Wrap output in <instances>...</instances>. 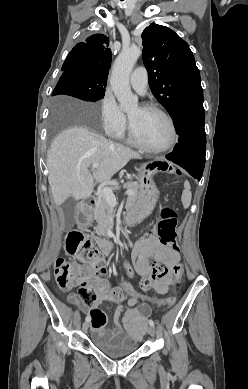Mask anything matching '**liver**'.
<instances>
[{
	"instance_id": "obj_1",
	"label": "liver",
	"mask_w": 248,
	"mask_h": 389,
	"mask_svg": "<svg viewBox=\"0 0 248 389\" xmlns=\"http://www.w3.org/2000/svg\"><path fill=\"white\" fill-rule=\"evenodd\" d=\"M71 104L70 100H61ZM137 152L105 137L75 126L62 131L52 142L47 156L48 182L54 202L63 204L69 197L88 198L97 182H109ZM99 163L91 175L88 168Z\"/></svg>"
}]
</instances>
